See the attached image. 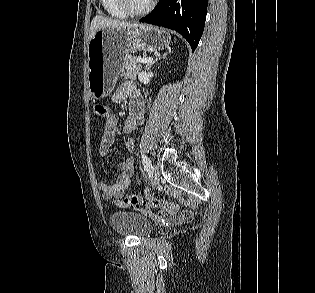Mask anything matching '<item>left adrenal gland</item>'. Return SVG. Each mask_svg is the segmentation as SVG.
I'll list each match as a JSON object with an SVG mask.
<instances>
[{
    "instance_id": "1",
    "label": "left adrenal gland",
    "mask_w": 315,
    "mask_h": 293,
    "mask_svg": "<svg viewBox=\"0 0 315 293\" xmlns=\"http://www.w3.org/2000/svg\"><path fill=\"white\" fill-rule=\"evenodd\" d=\"M169 53H170V51L167 52V53H165L163 56L157 57L153 62H151V63H149L148 65H146V70L149 71L150 68H151L154 64H156L161 58L165 59L166 56H167Z\"/></svg>"
}]
</instances>
